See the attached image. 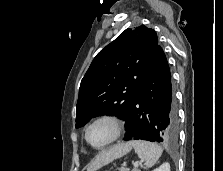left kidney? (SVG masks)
I'll return each mask as SVG.
<instances>
[{"label":"left kidney","mask_w":223,"mask_h":171,"mask_svg":"<svg viewBox=\"0 0 223 171\" xmlns=\"http://www.w3.org/2000/svg\"><path fill=\"white\" fill-rule=\"evenodd\" d=\"M153 171H170V164L169 163H163L158 168L154 169Z\"/></svg>","instance_id":"left-kidney-1"}]
</instances>
